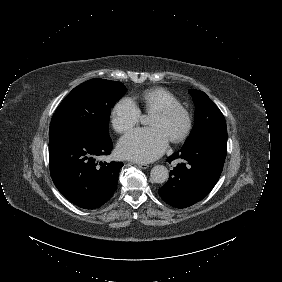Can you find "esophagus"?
<instances>
[{"label":"esophagus","mask_w":282,"mask_h":282,"mask_svg":"<svg viewBox=\"0 0 282 282\" xmlns=\"http://www.w3.org/2000/svg\"><path fill=\"white\" fill-rule=\"evenodd\" d=\"M136 164H137V166H138L139 168H141V169H147V168L149 167V165L144 164V163H136Z\"/></svg>","instance_id":"esophagus-1"}]
</instances>
